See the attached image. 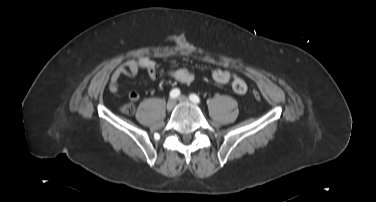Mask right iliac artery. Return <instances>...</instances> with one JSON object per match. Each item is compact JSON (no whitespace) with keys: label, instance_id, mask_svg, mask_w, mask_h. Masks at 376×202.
<instances>
[{"label":"right iliac artery","instance_id":"right-iliac-artery-1","mask_svg":"<svg viewBox=\"0 0 376 202\" xmlns=\"http://www.w3.org/2000/svg\"><path fill=\"white\" fill-rule=\"evenodd\" d=\"M179 95H180V90H179L178 88H175V89H173V90L170 92V97H171L172 99L177 98Z\"/></svg>","mask_w":376,"mask_h":202}]
</instances>
